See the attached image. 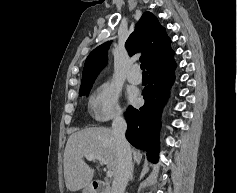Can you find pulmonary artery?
Wrapping results in <instances>:
<instances>
[{"label":"pulmonary artery","instance_id":"obj_1","mask_svg":"<svg viewBox=\"0 0 237 193\" xmlns=\"http://www.w3.org/2000/svg\"><path fill=\"white\" fill-rule=\"evenodd\" d=\"M127 79L132 84H140L142 82V76L139 73V67L137 65H134L131 68V70L127 76Z\"/></svg>","mask_w":237,"mask_h":193}]
</instances>
